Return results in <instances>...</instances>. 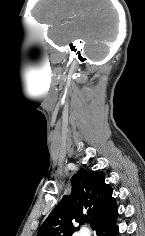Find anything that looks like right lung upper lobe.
<instances>
[{
    "instance_id": "obj_1",
    "label": "right lung upper lobe",
    "mask_w": 145,
    "mask_h": 236,
    "mask_svg": "<svg viewBox=\"0 0 145 236\" xmlns=\"http://www.w3.org/2000/svg\"><path fill=\"white\" fill-rule=\"evenodd\" d=\"M72 193L64 196L40 227L37 236H72L78 228L77 222L84 223L91 218L94 229L99 222L117 209L112 197V188L105 183L101 171L79 170L71 178Z\"/></svg>"
}]
</instances>
